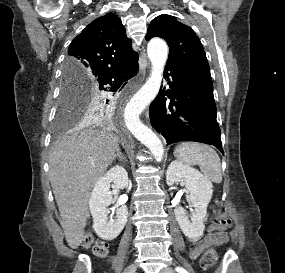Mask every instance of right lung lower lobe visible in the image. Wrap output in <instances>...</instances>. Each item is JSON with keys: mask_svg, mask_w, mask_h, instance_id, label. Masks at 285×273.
I'll list each match as a JSON object with an SVG mask.
<instances>
[{"mask_svg": "<svg viewBox=\"0 0 285 273\" xmlns=\"http://www.w3.org/2000/svg\"><path fill=\"white\" fill-rule=\"evenodd\" d=\"M138 70L139 65L138 60H136L130 64L124 65L98 76L94 81L91 82V85L99 90L115 93L120 91L126 85L127 81L138 73ZM111 113V105L110 107L104 106L102 115L99 119L101 121H106L111 117Z\"/></svg>", "mask_w": 285, "mask_h": 273, "instance_id": "right-lung-lower-lobe-1", "label": "right lung lower lobe"}]
</instances>
